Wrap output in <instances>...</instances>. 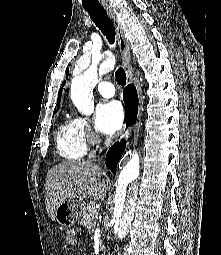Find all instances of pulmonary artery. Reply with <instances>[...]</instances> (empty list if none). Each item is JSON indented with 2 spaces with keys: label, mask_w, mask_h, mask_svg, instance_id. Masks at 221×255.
I'll use <instances>...</instances> for the list:
<instances>
[{
  "label": "pulmonary artery",
  "mask_w": 221,
  "mask_h": 255,
  "mask_svg": "<svg viewBox=\"0 0 221 255\" xmlns=\"http://www.w3.org/2000/svg\"><path fill=\"white\" fill-rule=\"evenodd\" d=\"M99 93L106 98L113 97L115 95V89L111 82L102 81L97 85Z\"/></svg>",
  "instance_id": "pulmonary-artery-1"
}]
</instances>
